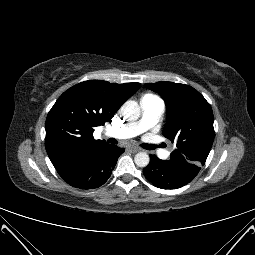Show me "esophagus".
Segmentation results:
<instances>
[{
    "mask_svg": "<svg viewBox=\"0 0 255 255\" xmlns=\"http://www.w3.org/2000/svg\"><path fill=\"white\" fill-rule=\"evenodd\" d=\"M128 150H129L130 152H132V153H137V152L140 151V149H139V148H136V147H130Z\"/></svg>",
    "mask_w": 255,
    "mask_h": 255,
    "instance_id": "obj_1",
    "label": "esophagus"
}]
</instances>
